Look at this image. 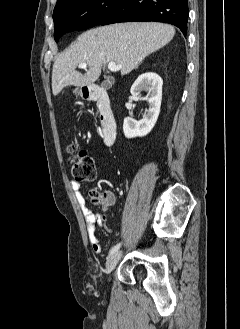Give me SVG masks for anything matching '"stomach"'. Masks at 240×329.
Listing matches in <instances>:
<instances>
[{
    "mask_svg": "<svg viewBox=\"0 0 240 329\" xmlns=\"http://www.w3.org/2000/svg\"><path fill=\"white\" fill-rule=\"evenodd\" d=\"M75 94H80L81 96H82V88H80V89H75L74 91H73Z\"/></svg>",
    "mask_w": 240,
    "mask_h": 329,
    "instance_id": "stomach-1",
    "label": "stomach"
}]
</instances>
